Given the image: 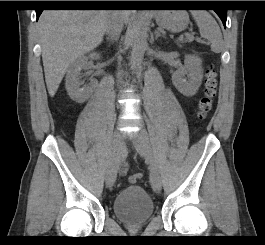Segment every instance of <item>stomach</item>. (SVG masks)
Wrapping results in <instances>:
<instances>
[{
	"instance_id": "0dacf381",
	"label": "stomach",
	"mask_w": 265,
	"mask_h": 245,
	"mask_svg": "<svg viewBox=\"0 0 265 245\" xmlns=\"http://www.w3.org/2000/svg\"><path fill=\"white\" fill-rule=\"evenodd\" d=\"M155 20L161 28L181 32L188 26L189 16L184 10H161L155 13Z\"/></svg>"
}]
</instances>
